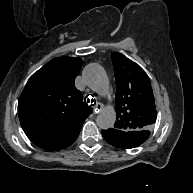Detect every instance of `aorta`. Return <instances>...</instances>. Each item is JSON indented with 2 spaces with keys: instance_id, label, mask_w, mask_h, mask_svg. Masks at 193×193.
Here are the masks:
<instances>
[{
  "instance_id": "1",
  "label": "aorta",
  "mask_w": 193,
  "mask_h": 193,
  "mask_svg": "<svg viewBox=\"0 0 193 193\" xmlns=\"http://www.w3.org/2000/svg\"><path fill=\"white\" fill-rule=\"evenodd\" d=\"M83 77L87 86L99 95L109 93V80L102 66L96 63L87 65L83 70ZM116 112L114 108L107 107L100 111L96 118V124L100 129H109L114 126Z\"/></svg>"
}]
</instances>
